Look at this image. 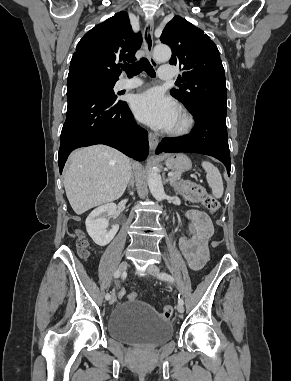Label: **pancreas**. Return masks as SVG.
<instances>
[{"label": "pancreas", "mask_w": 291, "mask_h": 381, "mask_svg": "<svg viewBox=\"0 0 291 381\" xmlns=\"http://www.w3.org/2000/svg\"><path fill=\"white\" fill-rule=\"evenodd\" d=\"M182 177L181 172H173V176L169 178L171 185H175V183L180 180Z\"/></svg>", "instance_id": "cf45deb5"}]
</instances>
